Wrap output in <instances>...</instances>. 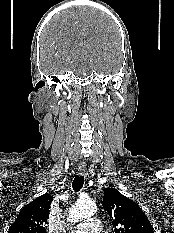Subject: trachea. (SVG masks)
I'll list each match as a JSON object with an SVG mask.
<instances>
[{
  "mask_svg": "<svg viewBox=\"0 0 174 233\" xmlns=\"http://www.w3.org/2000/svg\"><path fill=\"white\" fill-rule=\"evenodd\" d=\"M83 184H84V176L76 175L72 183L73 190L75 192H78L83 187Z\"/></svg>",
  "mask_w": 174,
  "mask_h": 233,
  "instance_id": "1",
  "label": "trachea"
}]
</instances>
